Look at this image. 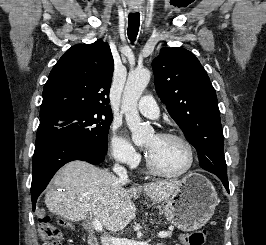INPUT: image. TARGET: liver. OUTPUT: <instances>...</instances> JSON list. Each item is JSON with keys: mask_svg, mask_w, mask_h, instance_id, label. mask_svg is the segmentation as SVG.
Instances as JSON below:
<instances>
[{"mask_svg": "<svg viewBox=\"0 0 266 245\" xmlns=\"http://www.w3.org/2000/svg\"><path fill=\"white\" fill-rule=\"evenodd\" d=\"M127 181H120L112 173L93 167L85 161H72L62 167L53 179V187L46 193L45 205L49 213L68 221H84L93 215L104 229L122 231L135 219L138 199L144 191L153 201H167L181 181L147 183L142 189H124Z\"/></svg>", "mask_w": 266, "mask_h": 245, "instance_id": "liver-1", "label": "liver"}]
</instances>
